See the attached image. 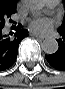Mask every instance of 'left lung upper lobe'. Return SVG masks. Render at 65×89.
<instances>
[{"label": "left lung upper lobe", "instance_id": "1", "mask_svg": "<svg viewBox=\"0 0 65 89\" xmlns=\"http://www.w3.org/2000/svg\"><path fill=\"white\" fill-rule=\"evenodd\" d=\"M58 32L65 33V17H64V21H63L62 25L58 29Z\"/></svg>", "mask_w": 65, "mask_h": 89}]
</instances>
